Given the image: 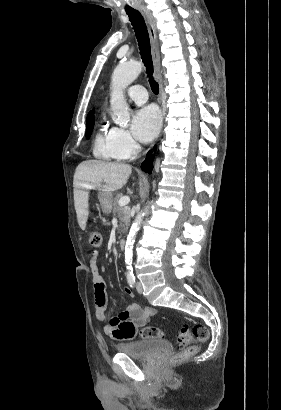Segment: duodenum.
<instances>
[{
	"mask_svg": "<svg viewBox=\"0 0 281 410\" xmlns=\"http://www.w3.org/2000/svg\"><path fill=\"white\" fill-rule=\"evenodd\" d=\"M125 246H126V241H125L124 239H122V240H120V241L118 242V247H119L121 250H123V249L125 248Z\"/></svg>",
	"mask_w": 281,
	"mask_h": 410,
	"instance_id": "duodenum-1",
	"label": "duodenum"
}]
</instances>
